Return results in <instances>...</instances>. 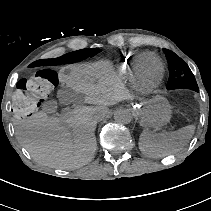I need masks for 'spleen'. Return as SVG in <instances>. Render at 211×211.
<instances>
[{
	"instance_id": "3e777b00",
	"label": "spleen",
	"mask_w": 211,
	"mask_h": 211,
	"mask_svg": "<svg viewBox=\"0 0 211 211\" xmlns=\"http://www.w3.org/2000/svg\"><path fill=\"white\" fill-rule=\"evenodd\" d=\"M194 131V125H189L172 132L161 133L144 129L139 137V149L150 158L165 157L188 144Z\"/></svg>"
}]
</instances>
